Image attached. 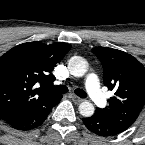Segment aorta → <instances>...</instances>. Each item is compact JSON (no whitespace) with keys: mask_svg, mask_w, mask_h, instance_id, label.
I'll use <instances>...</instances> for the list:
<instances>
[{"mask_svg":"<svg viewBox=\"0 0 145 145\" xmlns=\"http://www.w3.org/2000/svg\"><path fill=\"white\" fill-rule=\"evenodd\" d=\"M68 69L73 76L80 77L86 73L87 63L82 57L74 56L68 62ZM94 110L93 104L88 101L79 105V112L83 117H91Z\"/></svg>","mask_w":145,"mask_h":145,"instance_id":"1","label":"aorta"}]
</instances>
